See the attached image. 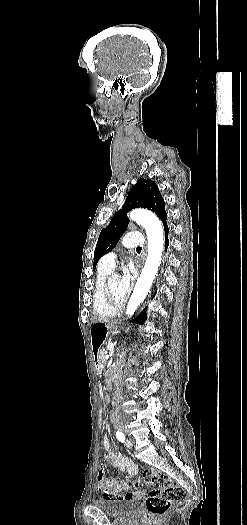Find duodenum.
<instances>
[{"label":"duodenum","instance_id":"410a0bca","mask_svg":"<svg viewBox=\"0 0 247 525\" xmlns=\"http://www.w3.org/2000/svg\"><path fill=\"white\" fill-rule=\"evenodd\" d=\"M95 367H96L97 371H101L102 370V364L99 361L96 362V366ZM99 393H100V396L102 398H106V395H105V393L103 392L102 389H100Z\"/></svg>","mask_w":247,"mask_h":525}]
</instances>
